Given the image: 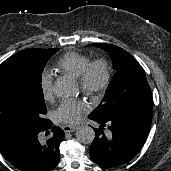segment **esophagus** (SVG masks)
<instances>
[{
    "instance_id": "obj_1",
    "label": "esophagus",
    "mask_w": 171,
    "mask_h": 171,
    "mask_svg": "<svg viewBox=\"0 0 171 171\" xmlns=\"http://www.w3.org/2000/svg\"><path fill=\"white\" fill-rule=\"evenodd\" d=\"M62 129L65 133H71V132H74L75 130H77L78 126L64 125V126H62Z\"/></svg>"
}]
</instances>
